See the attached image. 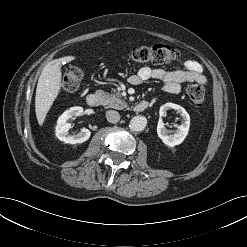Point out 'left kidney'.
Here are the masks:
<instances>
[{
  "instance_id": "left-kidney-1",
  "label": "left kidney",
  "mask_w": 247,
  "mask_h": 247,
  "mask_svg": "<svg viewBox=\"0 0 247 247\" xmlns=\"http://www.w3.org/2000/svg\"><path fill=\"white\" fill-rule=\"evenodd\" d=\"M170 109L176 110L177 113L182 116L181 125L177 126L174 134H171V131L165 128L162 119H160L157 125V134L165 145H167L168 147H174L181 144L185 140L190 127V116L187 111L180 105L174 103H166L160 107V117L166 116L167 111Z\"/></svg>"
}]
</instances>
